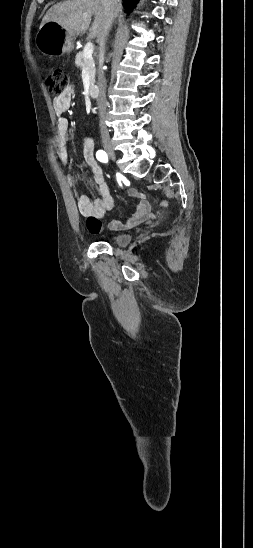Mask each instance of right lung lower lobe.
Listing matches in <instances>:
<instances>
[{
	"mask_svg": "<svg viewBox=\"0 0 253 548\" xmlns=\"http://www.w3.org/2000/svg\"><path fill=\"white\" fill-rule=\"evenodd\" d=\"M139 0H123L124 4L128 7V8H132L134 6V4L136 2H138Z\"/></svg>",
	"mask_w": 253,
	"mask_h": 548,
	"instance_id": "right-lung-lower-lobe-1",
	"label": "right lung lower lobe"
}]
</instances>
